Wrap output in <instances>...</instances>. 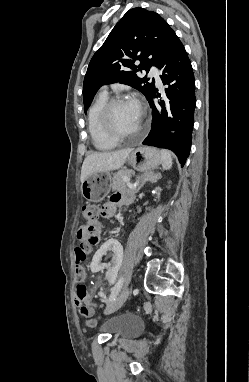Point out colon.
Masks as SVG:
<instances>
[{"label":"colon","instance_id":"colon-1","mask_svg":"<svg viewBox=\"0 0 249 382\" xmlns=\"http://www.w3.org/2000/svg\"><path fill=\"white\" fill-rule=\"evenodd\" d=\"M99 213V209L95 205L86 204L82 207V215L87 223V225H92L93 222L96 220ZM89 252V248H75V257L77 264L74 265L75 278L79 281L76 289V298H83L85 299L87 296V287L82 282L84 280V271L81 267V264L86 260L87 255ZM89 312V309L82 310L83 314H87Z\"/></svg>","mask_w":249,"mask_h":382}]
</instances>
